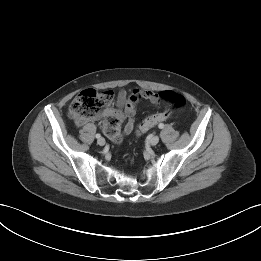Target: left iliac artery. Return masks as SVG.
I'll use <instances>...</instances> for the list:
<instances>
[{
    "label": "left iliac artery",
    "mask_w": 261,
    "mask_h": 261,
    "mask_svg": "<svg viewBox=\"0 0 261 261\" xmlns=\"http://www.w3.org/2000/svg\"><path fill=\"white\" fill-rule=\"evenodd\" d=\"M158 127H159L160 129H162V128H164V124H163V123H160V124L158 125Z\"/></svg>",
    "instance_id": "left-iliac-artery-1"
}]
</instances>
